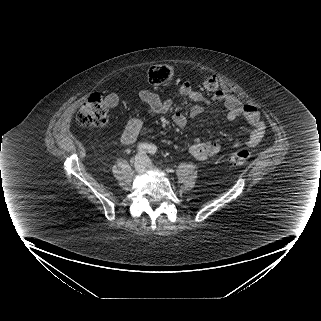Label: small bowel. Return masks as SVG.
I'll use <instances>...</instances> for the list:
<instances>
[{
	"label": "small bowel",
	"instance_id": "small-bowel-1",
	"mask_svg": "<svg viewBox=\"0 0 321 321\" xmlns=\"http://www.w3.org/2000/svg\"><path fill=\"white\" fill-rule=\"evenodd\" d=\"M140 97L145 102L149 115L167 112L173 106L174 99L179 97L189 98L194 102V105L189 111L191 118L200 116L205 105H210L215 102L223 103L227 110L226 118L228 120L232 121L239 117H244L250 127L245 136L235 139L230 143V146L234 149L240 147H256L261 142L265 133V121L259 110L254 105L242 103L237 98L222 90H217L210 96H207L202 91L195 89L191 83L183 82L172 98L161 99L157 94L150 91L141 92ZM105 101L110 108H115L119 103V97L116 93H109L106 95ZM172 120L179 128H184L187 124L186 115L180 112L174 113ZM142 122V118L139 116L133 117L128 122L121 136V143L123 145H130L136 141L142 128ZM220 150V143L207 141L192 144L188 147L187 151L190 156L197 160L210 161Z\"/></svg>",
	"mask_w": 321,
	"mask_h": 321
}]
</instances>
